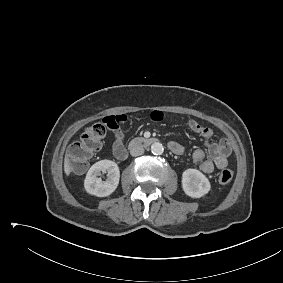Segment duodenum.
<instances>
[{
    "label": "duodenum",
    "mask_w": 283,
    "mask_h": 283,
    "mask_svg": "<svg viewBox=\"0 0 283 283\" xmlns=\"http://www.w3.org/2000/svg\"><path fill=\"white\" fill-rule=\"evenodd\" d=\"M157 140L155 138H136L132 140L129 144V148H138V147H149L150 145L154 144ZM127 156V151L126 149L124 150L122 154V159H125Z\"/></svg>",
    "instance_id": "duodenum-1"
}]
</instances>
